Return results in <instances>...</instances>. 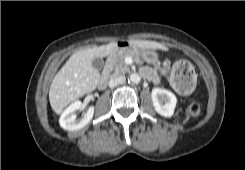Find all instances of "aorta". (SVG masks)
<instances>
[{
	"mask_svg": "<svg viewBox=\"0 0 245 170\" xmlns=\"http://www.w3.org/2000/svg\"><path fill=\"white\" fill-rule=\"evenodd\" d=\"M130 81L134 84H138L141 81V77L137 73H133L130 75Z\"/></svg>",
	"mask_w": 245,
	"mask_h": 170,
	"instance_id": "1",
	"label": "aorta"
}]
</instances>
